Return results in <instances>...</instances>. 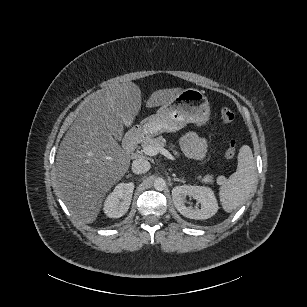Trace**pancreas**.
I'll return each mask as SVG.
<instances>
[{
	"mask_svg": "<svg viewBox=\"0 0 307 307\" xmlns=\"http://www.w3.org/2000/svg\"><path fill=\"white\" fill-rule=\"evenodd\" d=\"M166 143V140L162 137V136H159L157 138H150V137H146L141 146L144 150L145 147L149 146V145H156V146H159V147H162L164 146ZM203 181H206V182H209L211 181V176H206L203 178Z\"/></svg>",
	"mask_w": 307,
	"mask_h": 307,
	"instance_id": "1",
	"label": "pancreas"
}]
</instances>
